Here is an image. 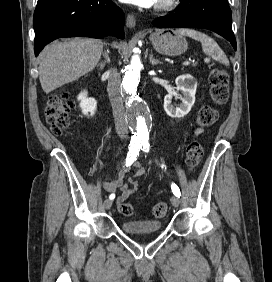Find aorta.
<instances>
[{
  "label": "aorta",
  "mask_w": 272,
  "mask_h": 282,
  "mask_svg": "<svg viewBox=\"0 0 272 282\" xmlns=\"http://www.w3.org/2000/svg\"><path fill=\"white\" fill-rule=\"evenodd\" d=\"M141 68L142 64L139 55H133L122 81V88L128 101V122L132 137L137 140L149 138L150 121L149 108L139 97Z\"/></svg>",
  "instance_id": "1"
}]
</instances>
